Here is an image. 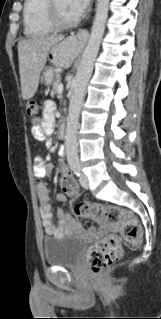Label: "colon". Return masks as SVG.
<instances>
[{
	"label": "colon",
	"mask_w": 161,
	"mask_h": 319,
	"mask_svg": "<svg viewBox=\"0 0 161 319\" xmlns=\"http://www.w3.org/2000/svg\"><path fill=\"white\" fill-rule=\"evenodd\" d=\"M27 116L34 121L40 119L41 109L37 103H29L26 108ZM65 190L74 188L67 177L61 179ZM76 214L95 221L118 225L122 239L129 244L140 242L142 233L139 221L125 213L118 205H102L88 202L79 203L75 208ZM122 257L121 240L118 235H109L92 244L86 252V263L89 270L96 276H101L105 270L115 265Z\"/></svg>",
	"instance_id": "1"
}]
</instances>
